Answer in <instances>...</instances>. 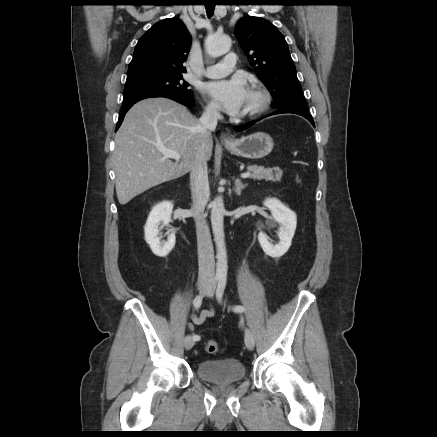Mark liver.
Segmentation results:
<instances>
[{
	"instance_id": "1",
	"label": "liver",
	"mask_w": 437,
	"mask_h": 437,
	"mask_svg": "<svg viewBox=\"0 0 437 437\" xmlns=\"http://www.w3.org/2000/svg\"><path fill=\"white\" fill-rule=\"evenodd\" d=\"M161 147L178 152L180 159L165 157ZM212 150L211 134L203 136L200 121L185 106L167 98L139 101L115 135L112 163L119 203L184 176L201 156L210 160Z\"/></svg>"
}]
</instances>
